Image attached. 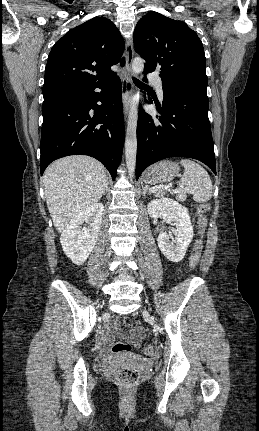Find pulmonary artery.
I'll return each instance as SVG.
<instances>
[{"label": "pulmonary artery", "mask_w": 259, "mask_h": 431, "mask_svg": "<svg viewBox=\"0 0 259 431\" xmlns=\"http://www.w3.org/2000/svg\"><path fill=\"white\" fill-rule=\"evenodd\" d=\"M149 80L155 84L159 97L163 98V89H162L161 78L157 75H150Z\"/></svg>", "instance_id": "1"}]
</instances>
